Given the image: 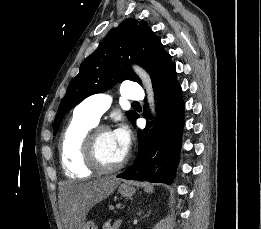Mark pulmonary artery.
<instances>
[{"label":"pulmonary artery","mask_w":261,"mask_h":229,"mask_svg":"<svg viewBox=\"0 0 261 229\" xmlns=\"http://www.w3.org/2000/svg\"><path fill=\"white\" fill-rule=\"evenodd\" d=\"M141 84H121L123 96L128 99H145ZM112 96L108 93L94 94L85 99L80 105L81 111L96 125L101 116L110 108Z\"/></svg>","instance_id":"1"}]
</instances>
